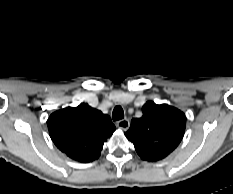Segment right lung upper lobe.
<instances>
[{"mask_svg":"<svg viewBox=\"0 0 233 194\" xmlns=\"http://www.w3.org/2000/svg\"><path fill=\"white\" fill-rule=\"evenodd\" d=\"M47 125L55 145L84 163L99 158L104 142L116 129L108 115L85 103L54 112Z\"/></svg>","mask_w":233,"mask_h":194,"instance_id":"1","label":"right lung upper lobe"}]
</instances>
